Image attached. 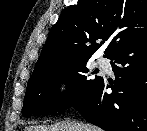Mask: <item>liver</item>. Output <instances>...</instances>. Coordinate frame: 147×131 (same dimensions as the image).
<instances>
[{
  "label": "liver",
  "mask_w": 147,
  "mask_h": 131,
  "mask_svg": "<svg viewBox=\"0 0 147 131\" xmlns=\"http://www.w3.org/2000/svg\"><path fill=\"white\" fill-rule=\"evenodd\" d=\"M24 131H101L99 128L82 122H59L50 126L36 125L26 127Z\"/></svg>",
  "instance_id": "1"
}]
</instances>
